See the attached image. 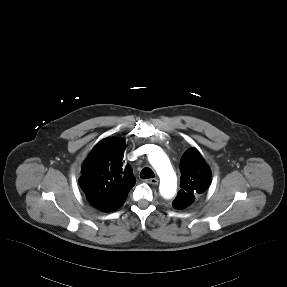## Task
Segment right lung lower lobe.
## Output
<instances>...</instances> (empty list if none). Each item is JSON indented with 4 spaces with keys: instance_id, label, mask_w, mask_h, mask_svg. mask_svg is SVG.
<instances>
[{
    "instance_id": "1",
    "label": "right lung lower lobe",
    "mask_w": 287,
    "mask_h": 287,
    "mask_svg": "<svg viewBox=\"0 0 287 287\" xmlns=\"http://www.w3.org/2000/svg\"><path fill=\"white\" fill-rule=\"evenodd\" d=\"M127 195L115 198L112 200H97V199H87L91 205L103 212H111L118 209L125 201Z\"/></svg>"
}]
</instances>
